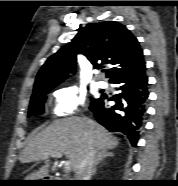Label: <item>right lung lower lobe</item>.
Masks as SVG:
<instances>
[{
	"mask_svg": "<svg viewBox=\"0 0 178 186\" xmlns=\"http://www.w3.org/2000/svg\"><path fill=\"white\" fill-rule=\"evenodd\" d=\"M109 82L117 84L120 93L112 98L102 95L89 109L100 124L111 132L124 133L135 146L149 96L145 61L124 69ZM109 100L115 101V105L109 107Z\"/></svg>",
	"mask_w": 178,
	"mask_h": 186,
	"instance_id": "right-lung-lower-lobe-1",
	"label": "right lung lower lobe"
}]
</instances>
